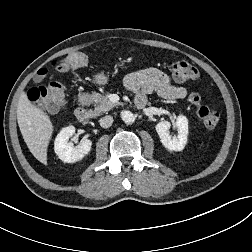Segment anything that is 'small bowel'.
Here are the masks:
<instances>
[{
  "mask_svg": "<svg viewBox=\"0 0 252 252\" xmlns=\"http://www.w3.org/2000/svg\"><path fill=\"white\" fill-rule=\"evenodd\" d=\"M125 85L135 93V102L139 107L154 93L166 99H182L188 93L186 88L173 84L167 74L156 68H146L128 75Z\"/></svg>",
  "mask_w": 252,
  "mask_h": 252,
  "instance_id": "small-bowel-1",
  "label": "small bowel"
}]
</instances>
